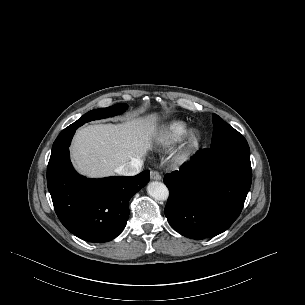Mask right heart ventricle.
<instances>
[{
    "label": "right heart ventricle",
    "instance_id": "1",
    "mask_svg": "<svg viewBox=\"0 0 305 305\" xmlns=\"http://www.w3.org/2000/svg\"><path fill=\"white\" fill-rule=\"evenodd\" d=\"M188 131V125L181 120H173L166 124L159 132V141L167 146L179 143Z\"/></svg>",
    "mask_w": 305,
    "mask_h": 305
}]
</instances>
